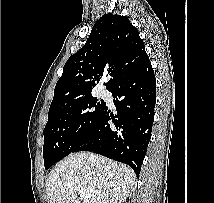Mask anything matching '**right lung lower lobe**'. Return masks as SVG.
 I'll return each instance as SVG.
<instances>
[{
  "label": "right lung lower lobe",
  "mask_w": 214,
  "mask_h": 203,
  "mask_svg": "<svg viewBox=\"0 0 214 203\" xmlns=\"http://www.w3.org/2000/svg\"><path fill=\"white\" fill-rule=\"evenodd\" d=\"M109 91L117 115L106 104L95 124L73 152L91 151L128 164L138 176L150 142L156 102V79L149 63ZM109 120L113 124L108 123Z\"/></svg>",
  "instance_id": "98d812e1"
}]
</instances>
